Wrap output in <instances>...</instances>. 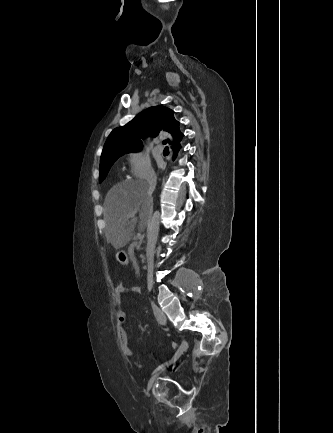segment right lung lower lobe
<instances>
[{"mask_svg": "<svg viewBox=\"0 0 333 433\" xmlns=\"http://www.w3.org/2000/svg\"><path fill=\"white\" fill-rule=\"evenodd\" d=\"M181 146L178 145L176 147H173V160L177 157L178 151L180 150Z\"/></svg>", "mask_w": 333, "mask_h": 433, "instance_id": "right-lung-lower-lobe-1", "label": "right lung lower lobe"}]
</instances>
